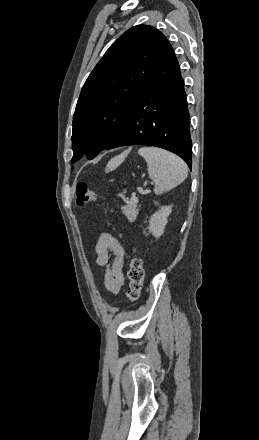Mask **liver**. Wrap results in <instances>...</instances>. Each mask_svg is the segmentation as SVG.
I'll return each instance as SVG.
<instances>
[{
  "instance_id": "6515ba94",
  "label": "liver",
  "mask_w": 259,
  "mask_h": 440,
  "mask_svg": "<svg viewBox=\"0 0 259 440\" xmlns=\"http://www.w3.org/2000/svg\"><path fill=\"white\" fill-rule=\"evenodd\" d=\"M127 154H128V151L125 152V153H123L122 155H119V156H117V157L111 159V160L108 162V165H107V171H108V170H113V169H115L116 167H118V166L124 161V159H125V157H126Z\"/></svg>"
}]
</instances>
